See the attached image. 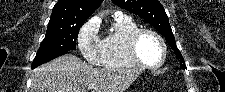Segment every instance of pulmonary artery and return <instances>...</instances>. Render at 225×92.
I'll return each mask as SVG.
<instances>
[{"mask_svg": "<svg viewBox=\"0 0 225 92\" xmlns=\"http://www.w3.org/2000/svg\"><path fill=\"white\" fill-rule=\"evenodd\" d=\"M116 15H118V16H124V15H122L121 13H119V12H117V14Z\"/></svg>", "mask_w": 225, "mask_h": 92, "instance_id": "1", "label": "pulmonary artery"}]
</instances>
